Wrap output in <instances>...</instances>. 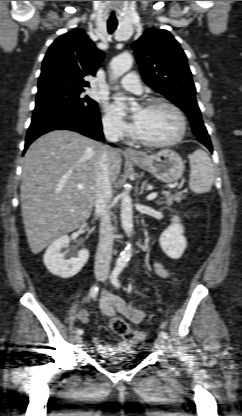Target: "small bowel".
I'll use <instances>...</instances> for the list:
<instances>
[{
    "mask_svg": "<svg viewBox=\"0 0 242 416\" xmlns=\"http://www.w3.org/2000/svg\"><path fill=\"white\" fill-rule=\"evenodd\" d=\"M153 269L159 277L172 279L171 273L160 261L155 260L153 262ZM99 303L102 313L107 317L120 315L133 323H140L145 317V312L137 305L126 302L121 297L107 290L102 291ZM77 318L82 323H88L89 315L87 310L85 308H80L77 311ZM122 345L124 344L118 343L117 345H106L102 344L97 338L93 339L94 349L100 354L109 353L116 346Z\"/></svg>",
    "mask_w": 242,
    "mask_h": 416,
    "instance_id": "c3829d8e",
    "label": "small bowel"
}]
</instances>
